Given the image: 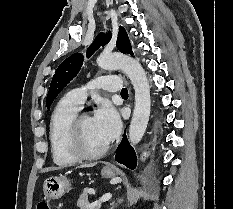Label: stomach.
I'll use <instances>...</instances> for the list:
<instances>
[{"label": "stomach", "mask_w": 233, "mask_h": 209, "mask_svg": "<svg viewBox=\"0 0 233 209\" xmlns=\"http://www.w3.org/2000/svg\"><path fill=\"white\" fill-rule=\"evenodd\" d=\"M101 174L104 178H114L116 173L112 169L103 168ZM70 189V182L65 176H52L43 183V193L46 198L56 200L61 198Z\"/></svg>", "instance_id": "1"}]
</instances>
